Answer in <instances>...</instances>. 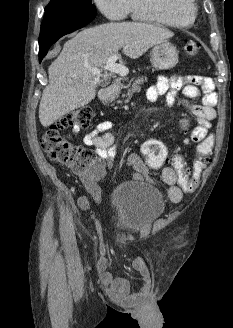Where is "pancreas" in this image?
Wrapping results in <instances>:
<instances>
[{
	"mask_svg": "<svg viewBox=\"0 0 233 328\" xmlns=\"http://www.w3.org/2000/svg\"><path fill=\"white\" fill-rule=\"evenodd\" d=\"M144 81H147V78H146V77H145V78H143V77H142V78H137V79L134 81L132 87L128 90L127 94L125 95V96L127 97L126 101H128V100L132 97V95H133L134 93L139 92V91L141 90L140 85H141Z\"/></svg>",
	"mask_w": 233,
	"mask_h": 328,
	"instance_id": "pancreas-1",
	"label": "pancreas"
}]
</instances>
